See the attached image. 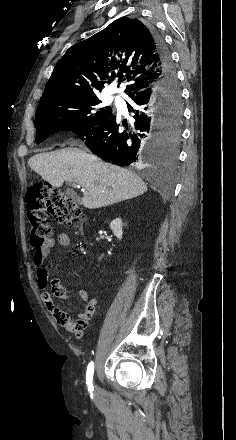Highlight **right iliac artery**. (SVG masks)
Masks as SVG:
<instances>
[{
  "label": "right iliac artery",
  "mask_w": 236,
  "mask_h": 440,
  "mask_svg": "<svg viewBox=\"0 0 236 440\" xmlns=\"http://www.w3.org/2000/svg\"><path fill=\"white\" fill-rule=\"evenodd\" d=\"M93 374H94V362L91 361L88 364L87 372H86V384H87L89 392H93L94 391V386H93V382H92Z\"/></svg>",
  "instance_id": "obj_1"
}]
</instances>
